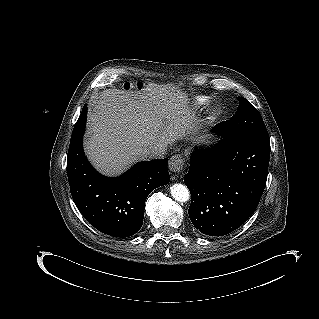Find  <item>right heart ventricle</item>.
Segmentation results:
<instances>
[{
	"label": "right heart ventricle",
	"mask_w": 319,
	"mask_h": 319,
	"mask_svg": "<svg viewBox=\"0 0 319 319\" xmlns=\"http://www.w3.org/2000/svg\"><path fill=\"white\" fill-rule=\"evenodd\" d=\"M193 100L196 107H202L209 101V97L205 95H196Z\"/></svg>",
	"instance_id": "1"
}]
</instances>
